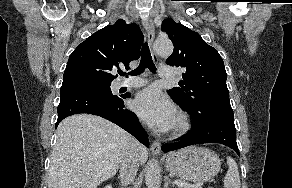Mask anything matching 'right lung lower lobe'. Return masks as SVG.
I'll return each instance as SVG.
<instances>
[{
  "label": "right lung lower lobe",
  "mask_w": 292,
  "mask_h": 188,
  "mask_svg": "<svg viewBox=\"0 0 292 188\" xmlns=\"http://www.w3.org/2000/svg\"><path fill=\"white\" fill-rule=\"evenodd\" d=\"M127 97L129 96L125 94L108 96L80 85L62 86L56 127L70 115L93 114L117 124L136 137L143 145L149 147L147 134L137 116L124 106V99Z\"/></svg>",
  "instance_id": "obj_1"
}]
</instances>
